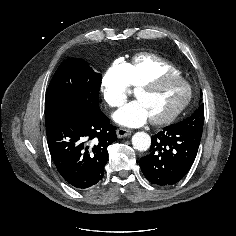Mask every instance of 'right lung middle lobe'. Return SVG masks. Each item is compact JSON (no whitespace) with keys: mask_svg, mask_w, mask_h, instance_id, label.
Segmentation results:
<instances>
[{"mask_svg":"<svg viewBox=\"0 0 236 236\" xmlns=\"http://www.w3.org/2000/svg\"><path fill=\"white\" fill-rule=\"evenodd\" d=\"M101 74L79 58L65 60L57 68L45 98V121L76 110L94 111L99 102Z\"/></svg>","mask_w":236,"mask_h":236,"instance_id":"right-lung-middle-lobe-1","label":"right lung middle lobe"}]
</instances>
